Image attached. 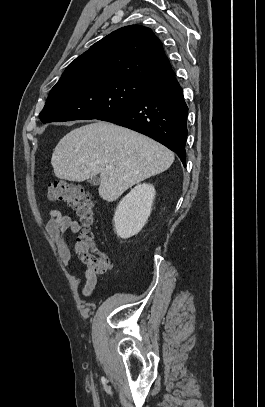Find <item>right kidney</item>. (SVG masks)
Segmentation results:
<instances>
[{"label": "right kidney", "mask_w": 265, "mask_h": 407, "mask_svg": "<svg viewBox=\"0 0 265 407\" xmlns=\"http://www.w3.org/2000/svg\"><path fill=\"white\" fill-rule=\"evenodd\" d=\"M155 188L151 184L134 187L118 204L113 222L117 236L123 239L138 234L151 213Z\"/></svg>", "instance_id": "1"}]
</instances>
